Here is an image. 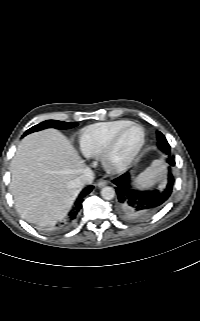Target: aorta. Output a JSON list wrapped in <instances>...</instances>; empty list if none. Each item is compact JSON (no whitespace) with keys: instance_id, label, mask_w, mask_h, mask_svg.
<instances>
[{"instance_id":"aorta-1","label":"aorta","mask_w":200,"mask_h":321,"mask_svg":"<svg viewBox=\"0 0 200 321\" xmlns=\"http://www.w3.org/2000/svg\"><path fill=\"white\" fill-rule=\"evenodd\" d=\"M101 196L103 199L105 200H111L114 198L115 196V190L114 188L110 187V186H105L104 188H102L101 190Z\"/></svg>"}]
</instances>
